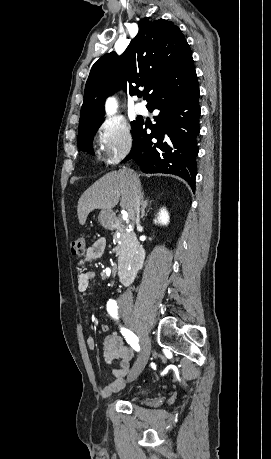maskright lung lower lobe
Wrapping results in <instances>:
<instances>
[{
  "mask_svg": "<svg viewBox=\"0 0 271 459\" xmlns=\"http://www.w3.org/2000/svg\"><path fill=\"white\" fill-rule=\"evenodd\" d=\"M199 95L195 70L168 82L152 95L147 100V108L160 110L155 117L156 124L147 134L141 120L133 130L132 151L123 162L132 158L145 173L178 175L195 190L201 112Z\"/></svg>",
  "mask_w": 271,
  "mask_h": 459,
  "instance_id": "1",
  "label": "right lung lower lobe"
}]
</instances>
